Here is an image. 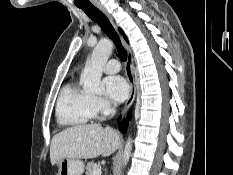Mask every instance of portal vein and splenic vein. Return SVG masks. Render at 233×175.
<instances>
[{"label":"portal vein and splenic vein","instance_id":"obj_1","mask_svg":"<svg viewBox=\"0 0 233 175\" xmlns=\"http://www.w3.org/2000/svg\"><path fill=\"white\" fill-rule=\"evenodd\" d=\"M93 175H101V169H95Z\"/></svg>","mask_w":233,"mask_h":175}]
</instances>
